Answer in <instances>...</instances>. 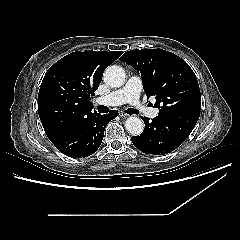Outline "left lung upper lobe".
Listing matches in <instances>:
<instances>
[{
	"instance_id": "obj_1",
	"label": "left lung upper lobe",
	"mask_w": 240,
	"mask_h": 240,
	"mask_svg": "<svg viewBox=\"0 0 240 240\" xmlns=\"http://www.w3.org/2000/svg\"><path fill=\"white\" fill-rule=\"evenodd\" d=\"M120 59L141 73L144 91L155 96L159 115L200 114L197 78L180 57L162 49H136Z\"/></svg>"
}]
</instances>
